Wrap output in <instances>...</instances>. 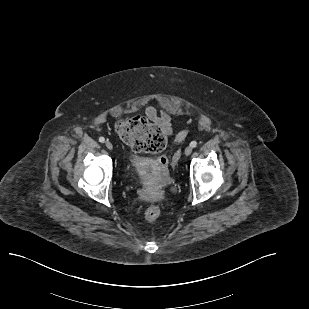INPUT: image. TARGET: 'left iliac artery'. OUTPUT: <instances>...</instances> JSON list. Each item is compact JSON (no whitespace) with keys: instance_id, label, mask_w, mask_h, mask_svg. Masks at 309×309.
<instances>
[{"instance_id":"44dca946","label":"left iliac artery","mask_w":309,"mask_h":309,"mask_svg":"<svg viewBox=\"0 0 309 309\" xmlns=\"http://www.w3.org/2000/svg\"><path fill=\"white\" fill-rule=\"evenodd\" d=\"M190 146H191L192 148L196 147V146H197V142H196V141H192V142L190 143Z\"/></svg>"}]
</instances>
